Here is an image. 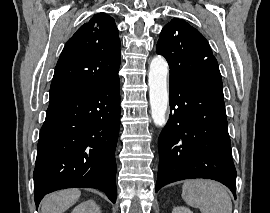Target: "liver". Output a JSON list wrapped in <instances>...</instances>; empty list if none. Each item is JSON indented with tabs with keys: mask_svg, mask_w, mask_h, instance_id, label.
Here are the masks:
<instances>
[{
	"mask_svg": "<svg viewBox=\"0 0 270 213\" xmlns=\"http://www.w3.org/2000/svg\"><path fill=\"white\" fill-rule=\"evenodd\" d=\"M81 195L78 189H67L45 197L41 204V213H64L73 206Z\"/></svg>",
	"mask_w": 270,
	"mask_h": 213,
	"instance_id": "obj_1",
	"label": "liver"
}]
</instances>
